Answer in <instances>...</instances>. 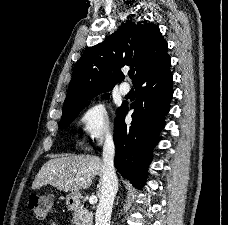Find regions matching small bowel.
<instances>
[{
    "label": "small bowel",
    "mask_w": 228,
    "mask_h": 225,
    "mask_svg": "<svg viewBox=\"0 0 228 225\" xmlns=\"http://www.w3.org/2000/svg\"><path fill=\"white\" fill-rule=\"evenodd\" d=\"M48 224L49 225H57V223L54 220H49Z\"/></svg>",
    "instance_id": "small-bowel-1"
}]
</instances>
